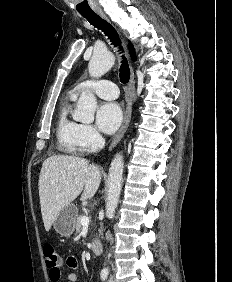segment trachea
Listing matches in <instances>:
<instances>
[{
	"label": "trachea",
	"mask_w": 232,
	"mask_h": 282,
	"mask_svg": "<svg viewBox=\"0 0 232 282\" xmlns=\"http://www.w3.org/2000/svg\"><path fill=\"white\" fill-rule=\"evenodd\" d=\"M81 15L84 18H86L91 25L102 30L105 36H107L108 39H110V41L115 47H119L120 48L119 50H122L119 35L111 24H109L106 20L102 19L99 15H97L94 12L81 13ZM119 77L122 83H127L130 78V69H129L128 61L124 55L122 56V60H121Z\"/></svg>",
	"instance_id": "3493384b"
}]
</instances>
